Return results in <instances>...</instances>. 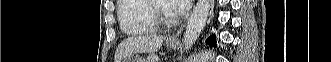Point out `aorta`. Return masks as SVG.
<instances>
[{"instance_id": "1", "label": "aorta", "mask_w": 331, "mask_h": 62, "mask_svg": "<svg viewBox=\"0 0 331 62\" xmlns=\"http://www.w3.org/2000/svg\"><path fill=\"white\" fill-rule=\"evenodd\" d=\"M210 2L211 0H198L193 9L183 38L186 51L192 48L206 25L210 10Z\"/></svg>"}]
</instances>
